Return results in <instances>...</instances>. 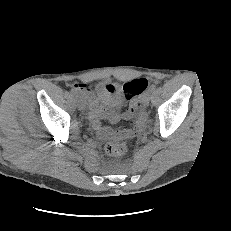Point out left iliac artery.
<instances>
[{"label": "left iliac artery", "instance_id": "left-iliac-artery-1", "mask_svg": "<svg viewBox=\"0 0 231 231\" xmlns=\"http://www.w3.org/2000/svg\"><path fill=\"white\" fill-rule=\"evenodd\" d=\"M156 85H154V84H152L150 87H149V90H151V91H154L155 89H156Z\"/></svg>", "mask_w": 231, "mask_h": 231}]
</instances>
